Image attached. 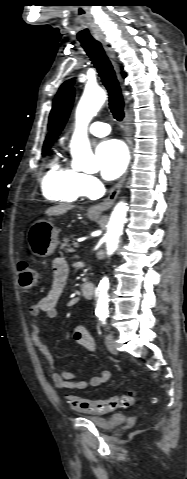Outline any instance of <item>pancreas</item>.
Wrapping results in <instances>:
<instances>
[{
    "mask_svg": "<svg viewBox=\"0 0 187 479\" xmlns=\"http://www.w3.org/2000/svg\"><path fill=\"white\" fill-rule=\"evenodd\" d=\"M73 239V236L67 237L63 239V243L61 244V249H65L68 252H72L73 250L70 248V240Z\"/></svg>",
    "mask_w": 187,
    "mask_h": 479,
    "instance_id": "1",
    "label": "pancreas"
}]
</instances>
